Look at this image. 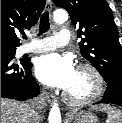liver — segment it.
Instances as JSON below:
<instances>
[{
  "label": "liver",
  "mask_w": 122,
  "mask_h": 123,
  "mask_svg": "<svg viewBox=\"0 0 122 123\" xmlns=\"http://www.w3.org/2000/svg\"><path fill=\"white\" fill-rule=\"evenodd\" d=\"M38 119L30 105L1 98V123H36Z\"/></svg>",
  "instance_id": "1"
}]
</instances>
